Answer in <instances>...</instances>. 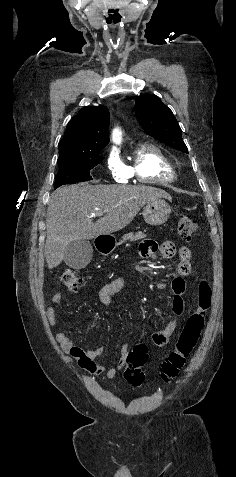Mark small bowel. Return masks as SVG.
I'll list each match as a JSON object with an SVG mask.
<instances>
[{
	"instance_id": "small-bowel-1",
	"label": "small bowel",
	"mask_w": 236,
	"mask_h": 477,
	"mask_svg": "<svg viewBox=\"0 0 236 477\" xmlns=\"http://www.w3.org/2000/svg\"><path fill=\"white\" fill-rule=\"evenodd\" d=\"M140 254L144 258H152L155 255H159L163 259H170L177 254L179 263L177 266V276L172 281L173 297L171 301L172 312L174 319L168 322L164 328L156 331L152 335L153 343L156 347H165L175 332L178 325V317L182 316L185 309L184 294L185 284L183 277L189 275L191 272V253L187 246H180L178 249L171 241L163 242L159 247L154 241L145 240L140 245ZM125 279L118 277L107 282L99 292V301L104 306L112 304L114 297L125 286ZM156 288L159 291H164L166 285L162 282L156 284ZM62 302V295L55 293L52 297V303L54 305H60ZM46 316L50 325L56 324V312L52 305L46 307ZM56 340L62 347V349L69 354L74 360H76L79 367L91 374H102L105 372V368L96 361V359L103 353L104 348L99 346L89 350H84L79 346H76L71 338L65 333H57ZM129 347L123 345L120 349V357L117 364L106 371V376L109 379H113L119 370L126 366L127 355Z\"/></svg>"
}]
</instances>
